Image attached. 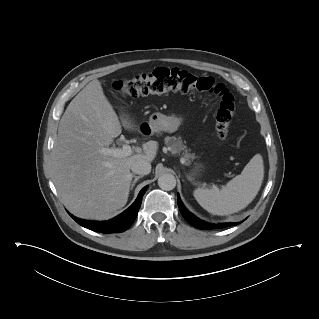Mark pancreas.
<instances>
[{
  "label": "pancreas",
  "mask_w": 319,
  "mask_h": 319,
  "mask_svg": "<svg viewBox=\"0 0 319 319\" xmlns=\"http://www.w3.org/2000/svg\"><path fill=\"white\" fill-rule=\"evenodd\" d=\"M165 144L170 147L172 154H180L182 152V160L186 165H189L196 158L195 154L191 153V150L183 144L181 137L168 136L165 138Z\"/></svg>",
  "instance_id": "obj_1"
}]
</instances>
